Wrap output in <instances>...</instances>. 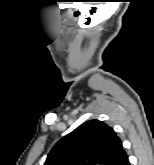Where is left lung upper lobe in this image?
I'll list each match as a JSON object with an SVG mask.
<instances>
[{
    "label": "left lung upper lobe",
    "instance_id": "obj_1",
    "mask_svg": "<svg viewBox=\"0 0 154 165\" xmlns=\"http://www.w3.org/2000/svg\"><path fill=\"white\" fill-rule=\"evenodd\" d=\"M122 152L114 130L90 120L58 141L44 165H117Z\"/></svg>",
    "mask_w": 154,
    "mask_h": 165
}]
</instances>
